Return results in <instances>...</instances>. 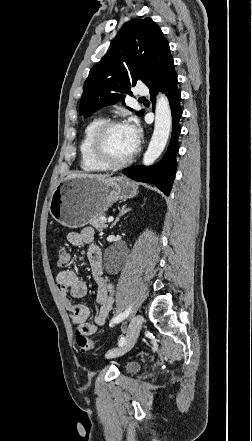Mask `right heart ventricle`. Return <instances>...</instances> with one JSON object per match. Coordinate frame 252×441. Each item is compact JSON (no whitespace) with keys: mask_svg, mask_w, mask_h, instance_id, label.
I'll list each match as a JSON object with an SVG mask.
<instances>
[{"mask_svg":"<svg viewBox=\"0 0 252 441\" xmlns=\"http://www.w3.org/2000/svg\"><path fill=\"white\" fill-rule=\"evenodd\" d=\"M104 121L102 117L91 119L85 126L83 135L79 144L80 167L85 172L95 173L107 170L103 165L97 162L90 151V143L96 128Z\"/></svg>","mask_w":252,"mask_h":441,"instance_id":"1","label":"right heart ventricle"}]
</instances>
